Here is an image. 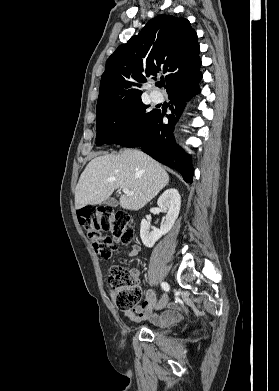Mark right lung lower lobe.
Here are the masks:
<instances>
[{
  "label": "right lung lower lobe",
  "mask_w": 279,
  "mask_h": 391,
  "mask_svg": "<svg viewBox=\"0 0 279 391\" xmlns=\"http://www.w3.org/2000/svg\"><path fill=\"white\" fill-rule=\"evenodd\" d=\"M201 78V72H197L169 92L171 114L166 115L168 121H163L164 113L155 110L151 116L119 137L114 143L126 147L140 146L145 153L176 169L186 182L191 183L194 170L190 156L176 144L173 130L175 122L182 113L184 101L200 93Z\"/></svg>",
  "instance_id": "right-lung-lower-lobe-1"
}]
</instances>
